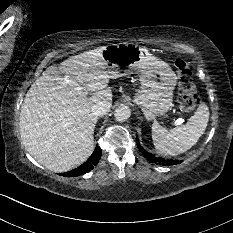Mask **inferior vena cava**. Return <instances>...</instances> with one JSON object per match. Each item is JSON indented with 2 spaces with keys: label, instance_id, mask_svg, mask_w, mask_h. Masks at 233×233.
Segmentation results:
<instances>
[{
  "label": "inferior vena cava",
  "instance_id": "602c4592",
  "mask_svg": "<svg viewBox=\"0 0 233 233\" xmlns=\"http://www.w3.org/2000/svg\"><path fill=\"white\" fill-rule=\"evenodd\" d=\"M111 105L103 102L95 104L91 111L95 116H103L110 110Z\"/></svg>",
  "mask_w": 233,
  "mask_h": 233
}]
</instances>
